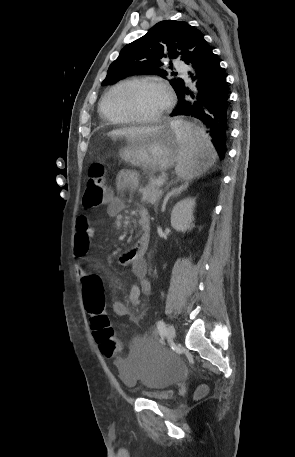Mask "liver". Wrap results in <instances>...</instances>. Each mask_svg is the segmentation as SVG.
Wrapping results in <instances>:
<instances>
[{
	"label": "liver",
	"mask_w": 295,
	"mask_h": 457,
	"mask_svg": "<svg viewBox=\"0 0 295 457\" xmlns=\"http://www.w3.org/2000/svg\"><path fill=\"white\" fill-rule=\"evenodd\" d=\"M160 129V126L150 127H129L113 130L107 133L108 136L113 138L125 137L127 140L143 139L149 135H152Z\"/></svg>",
	"instance_id": "liver-1"
}]
</instances>
